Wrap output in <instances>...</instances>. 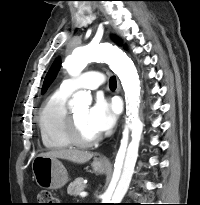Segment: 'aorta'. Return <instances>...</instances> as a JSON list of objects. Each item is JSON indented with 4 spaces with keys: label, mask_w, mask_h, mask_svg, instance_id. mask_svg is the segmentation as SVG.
<instances>
[{
    "label": "aorta",
    "mask_w": 200,
    "mask_h": 205,
    "mask_svg": "<svg viewBox=\"0 0 200 205\" xmlns=\"http://www.w3.org/2000/svg\"><path fill=\"white\" fill-rule=\"evenodd\" d=\"M93 61L106 62L119 77L127 104V125L123 132L119 150L120 154H125L122 174L113 194L111 196L105 194L102 198V203L118 204L129 188L138 157L139 142L143 128L142 122L138 119L141 89L140 81L137 69L132 60L120 48L110 43H101L98 45L89 44L75 48L66 58L65 66L68 73L75 76L81 73L89 62ZM91 100L92 98L89 93L80 91L74 95L73 103L77 107L88 108L91 104ZM129 128L132 130V140L127 146Z\"/></svg>",
    "instance_id": "aorta-1"
}]
</instances>
